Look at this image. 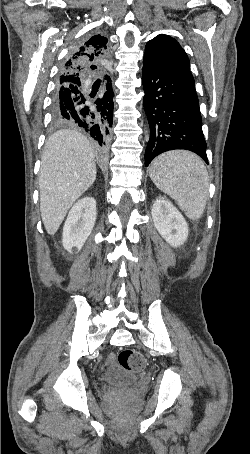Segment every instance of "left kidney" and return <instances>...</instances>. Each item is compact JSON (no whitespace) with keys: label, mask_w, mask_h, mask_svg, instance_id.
<instances>
[{"label":"left kidney","mask_w":250,"mask_h":454,"mask_svg":"<svg viewBox=\"0 0 250 454\" xmlns=\"http://www.w3.org/2000/svg\"><path fill=\"white\" fill-rule=\"evenodd\" d=\"M154 225L172 247H179L188 238V224L179 210L168 200L158 198L151 209Z\"/></svg>","instance_id":"5707ae66"}]
</instances>
